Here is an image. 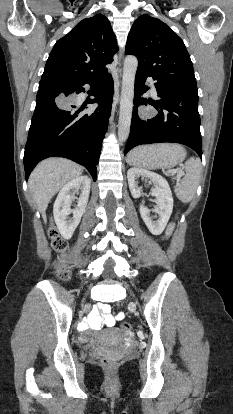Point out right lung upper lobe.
Wrapping results in <instances>:
<instances>
[{
	"instance_id": "cb5924a9",
	"label": "right lung upper lobe",
	"mask_w": 233,
	"mask_h": 414,
	"mask_svg": "<svg viewBox=\"0 0 233 414\" xmlns=\"http://www.w3.org/2000/svg\"><path fill=\"white\" fill-rule=\"evenodd\" d=\"M118 51L109 20L101 14L79 22L54 45L41 81H82L107 73Z\"/></svg>"
}]
</instances>
